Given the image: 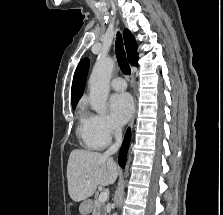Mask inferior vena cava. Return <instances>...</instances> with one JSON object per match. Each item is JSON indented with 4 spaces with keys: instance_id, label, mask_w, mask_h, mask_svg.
I'll return each instance as SVG.
<instances>
[{
    "instance_id": "obj_1",
    "label": "inferior vena cava",
    "mask_w": 223,
    "mask_h": 215,
    "mask_svg": "<svg viewBox=\"0 0 223 215\" xmlns=\"http://www.w3.org/2000/svg\"><path fill=\"white\" fill-rule=\"evenodd\" d=\"M121 141H122V129H120V127H117V129H115V143H113V145H111V147H109L107 151H104L103 153L104 157H110L112 153L118 151Z\"/></svg>"
}]
</instances>
